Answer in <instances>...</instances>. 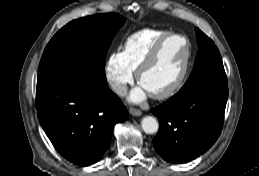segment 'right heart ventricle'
I'll return each instance as SVG.
<instances>
[{
  "label": "right heart ventricle",
  "instance_id": "1",
  "mask_svg": "<svg viewBox=\"0 0 259 176\" xmlns=\"http://www.w3.org/2000/svg\"><path fill=\"white\" fill-rule=\"evenodd\" d=\"M169 30L145 28L129 35L122 46V55L126 65L135 72L154 44Z\"/></svg>",
  "mask_w": 259,
  "mask_h": 176
}]
</instances>
